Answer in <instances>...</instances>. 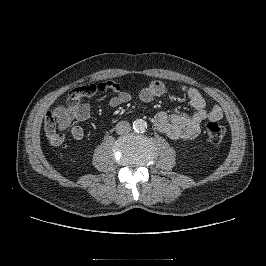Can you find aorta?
<instances>
[{
    "instance_id": "obj_1",
    "label": "aorta",
    "mask_w": 266,
    "mask_h": 266,
    "mask_svg": "<svg viewBox=\"0 0 266 266\" xmlns=\"http://www.w3.org/2000/svg\"><path fill=\"white\" fill-rule=\"evenodd\" d=\"M133 129L135 132H144L147 129V123L142 120L138 119L133 122Z\"/></svg>"
}]
</instances>
